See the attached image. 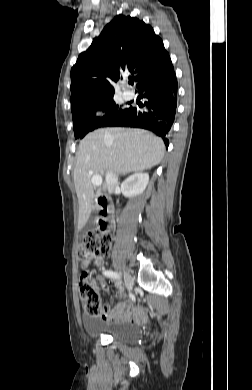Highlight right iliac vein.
<instances>
[{
  "mask_svg": "<svg viewBox=\"0 0 252 390\" xmlns=\"http://www.w3.org/2000/svg\"><path fill=\"white\" fill-rule=\"evenodd\" d=\"M124 282L128 290H131L133 288V278L128 272H124Z\"/></svg>",
  "mask_w": 252,
  "mask_h": 390,
  "instance_id": "63e3f726",
  "label": "right iliac vein"
}]
</instances>
